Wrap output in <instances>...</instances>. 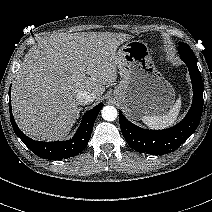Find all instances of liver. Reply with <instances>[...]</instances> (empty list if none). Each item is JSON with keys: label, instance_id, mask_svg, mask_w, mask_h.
Wrapping results in <instances>:
<instances>
[{"label": "liver", "instance_id": "6515ba94", "mask_svg": "<svg viewBox=\"0 0 212 212\" xmlns=\"http://www.w3.org/2000/svg\"><path fill=\"white\" fill-rule=\"evenodd\" d=\"M133 38L114 33H59L33 45L16 73L12 108L28 136L61 140L79 115L77 93L99 99L117 79V48Z\"/></svg>", "mask_w": 212, "mask_h": 212}]
</instances>
